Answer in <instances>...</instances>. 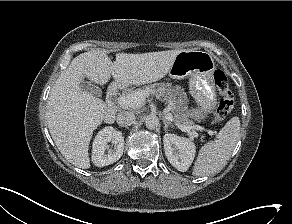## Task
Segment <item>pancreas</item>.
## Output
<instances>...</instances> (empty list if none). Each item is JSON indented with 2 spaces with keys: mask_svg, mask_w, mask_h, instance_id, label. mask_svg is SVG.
I'll list each match as a JSON object with an SVG mask.
<instances>
[{
  "mask_svg": "<svg viewBox=\"0 0 292 224\" xmlns=\"http://www.w3.org/2000/svg\"><path fill=\"white\" fill-rule=\"evenodd\" d=\"M137 91H145L149 94H157L160 98H163L168 103L167 108L173 115V120L176 124L189 127L194 126L193 121L188 119L190 116V111L187 109L188 99L186 93H184L179 86L173 87L169 83H154L138 89Z\"/></svg>",
  "mask_w": 292,
  "mask_h": 224,
  "instance_id": "obj_1",
  "label": "pancreas"
}]
</instances>
